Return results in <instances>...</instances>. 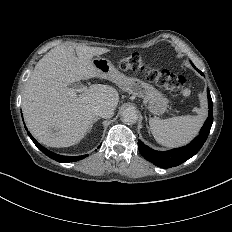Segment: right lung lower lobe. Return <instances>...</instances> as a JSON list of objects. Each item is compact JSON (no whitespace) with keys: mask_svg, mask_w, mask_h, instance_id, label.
<instances>
[{"mask_svg":"<svg viewBox=\"0 0 232 232\" xmlns=\"http://www.w3.org/2000/svg\"><path fill=\"white\" fill-rule=\"evenodd\" d=\"M26 128V127H25ZM28 135L30 136V138L33 140V142L35 143V145L48 157H50L51 159H54L58 162H62V163H68V162H73V161H78L81 160L85 157H87L88 155L85 156H62V155H58L56 153H53L49 150H47L46 148H44L42 145H40L33 137L32 135L28 132Z\"/></svg>","mask_w":232,"mask_h":232,"instance_id":"obj_1","label":"right lung lower lobe"}]
</instances>
